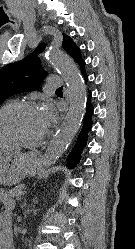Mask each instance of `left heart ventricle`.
<instances>
[{
    "label": "left heart ventricle",
    "mask_w": 135,
    "mask_h": 249,
    "mask_svg": "<svg viewBox=\"0 0 135 249\" xmlns=\"http://www.w3.org/2000/svg\"><path fill=\"white\" fill-rule=\"evenodd\" d=\"M45 129L39 109L12 108L0 117V132L24 141L37 140Z\"/></svg>",
    "instance_id": "obj_1"
}]
</instances>
